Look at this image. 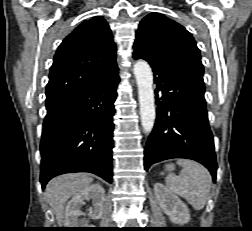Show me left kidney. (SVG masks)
I'll return each instance as SVG.
<instances>
[{
    "label": "left kidney",
    "mask_w": 252,
    "mask_h": 231,
    "mask_svg": "<svg viewBox=\"0 0 252 231\" xmlns=\"http://www.w3.org/2000/svg\"><path fill=\"white\" fill-rule=\"evenodd\" d=\"M155 197L169 219L176 224H185L190 220L189 210L184 202L161 183L154 185Z\"/></svg>",
    "instance_id": "5707ae66"
}]
</instances>
